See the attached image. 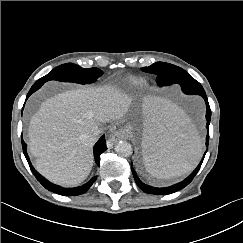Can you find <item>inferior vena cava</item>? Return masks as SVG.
I'll use <instances>...</instances> for the list:
<instances>
[{
    "label": "inferior vena cava",
    "instance_id": "1",
    "mask_svg": "<svg viewBox=\"0 0 243 243\" xmlns=\"http://www.w3.org/2000/svg\"><path fill=\"white\" fill-rule=\"evenodd\" d=\"M103 131H102V129H98V130H96L93 134H94V136H98L99 134H101Z\"/></svg>",
    "mask_w": 243,
    "mask_h": 243
}]
</instances>
